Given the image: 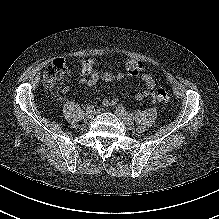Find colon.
Here are the masks:
<instances>
[{
	"instance_id": "colon-1",
	"label": "colon",
	"mask_w": 219,
	"mask_h": 219,
	"mask_svg": "<svg viewBox=\"0 0 219 219\" xmlns=\"http://www.w3.org/2000/svg\"><path fill=\"white\" fill-rule=\"evenodd\" d=\"M70 74V67L62 57L55 58L45 69L43 75V84L51 88ZM152 98L156 102L167 103L170 100L168 92L164 89H158L152 92Z\"/></svg>"
}]
</instances>
